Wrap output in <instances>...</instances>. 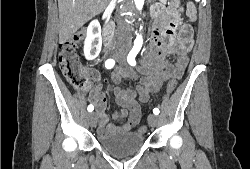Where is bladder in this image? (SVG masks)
<instances>
[{"mask_svg":"<svg viewBox=\"0 0 250 169\" xmlns=\"http://www.w3.org/2000/svg\"><path fill=\"white\" fill-rule=\"evenodd\" d=\"M96 140L102 149L119 158H127L135 154L146 144L144 134L125 132L98 133Z\"/></svg>","mask_w":250,"mask_h":169,"instance_id":"31cf9c89","label":"bladder"}]
</instances>
